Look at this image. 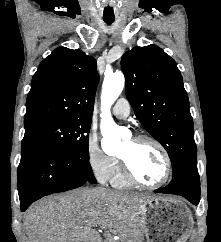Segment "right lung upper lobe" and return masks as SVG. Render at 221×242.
Instances as JSON below:
<instances>
[{"instance_id": "obj_1", "label": "right lung upper lobe", "mask_w": 221, "mask_h": 242, "mask_svg": "<svg viewBox=\"0 0 221 242\" xmlns=\"http://www.w3.org/2000/svg\"><path fill=\"white\" fill-rule=\"evenodd\" d=\"M98 80L93 57L81 50L56 48L33 76L24 125L51 119L92 118Z\"/></svg>"}]
</instances>
